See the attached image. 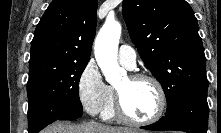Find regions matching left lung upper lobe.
I'll list each match as a JSON object with an SVG mask.
<instances>
[{
	"instance_id": "5c2ea615",
	"label": "left lung upper lobe",
	"mask_w": 221,
	"mask_h": 133,
	"mask_svg": "<svg viewBox=\"0 0 221 133\" xmlns=\"http://www.w3.org/2000/svg\"><path fill=\"white\" fill-rule=\"evenodd\" d=\"M123 16L142 60L163 87L167 111L192 93L207 92L198 23L185 0H124Z\"/></svg>"
}]
</instances>
